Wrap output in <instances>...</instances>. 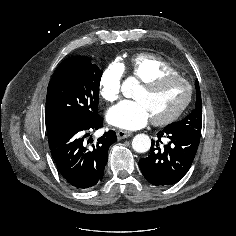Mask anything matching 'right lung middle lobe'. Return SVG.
<instances>
[{"label": "right lung middle lobe", "mask_w": 236, "mask_h": 236, "mask_svg": "<svg viewBox=\"0 0 236 236\" xmlns=\"http://www.w3.org/2000/svg\"><path fill=\"white\" fill-rule=\"evenodd\" d=\"M101 70L84 56L65 59L49 82L45 121L59 127L98 114Z\"/></svg>", "instance_id": "right-lung-middle-lobe-1"}]
</instances>
